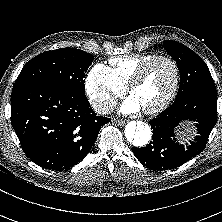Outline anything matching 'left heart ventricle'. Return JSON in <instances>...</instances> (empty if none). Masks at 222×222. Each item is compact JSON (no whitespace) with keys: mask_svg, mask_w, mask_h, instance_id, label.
<instances>
[{"mask_svg":"<svg viewBox=\"0 0 222 222\" xmlns=\"http://www.w3.org/2000/svg\"><path fill=\"white\" fill-rule=\"evenodd\" d=\"M174 81L173 67L167 61L152 64L142 81L134 87L133 95L143 109L152 108L161 103L169 94Z\"/></svg>","mask_w":222,"mask_h":222,"instance_id":"obj_1","label":"left heart ventricle"}]
</instances>
